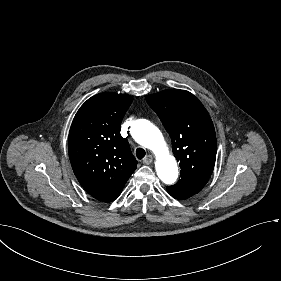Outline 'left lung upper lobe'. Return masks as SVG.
<instances>
[{"instance_id":"1","label":"left lung upper lobe","mask_w":281,"mask_h":281,"mask_svg":"<svg viewBox=\"0 0 281 281\" xmlns=\"http://www.w3.org/2000/svg\"><path fill=\"white\" fill-rule=\"evenodd\" d=\"M172 140L180 161L181 179L168 188L190 197L207 183L214 169L217 141L212 120L201 102L190 92L164 90L146 97Z\"/></svg>"}]
</instances>
